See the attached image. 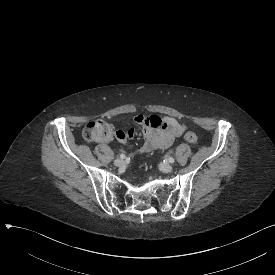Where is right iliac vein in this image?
Listing matches in <instances>:
<instances>
[{"label":"right iliac vein","instance_id":"1","mask_svg":"<svg viewBox=\"0 0 275 275\" xmlns=\"http://www.w3.org/2000/svg\"><path fill=\"white\" fill-rule=\"evenodd\" d=\"M114 164H115V166L120 167V166L124 165V161L122 159L118 158V159L114 160Z\"/></svg>","mask_w":275,"mask_h":275}]
</instances>
